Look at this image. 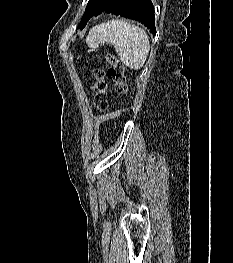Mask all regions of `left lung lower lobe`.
<instances>
[{"mask_svg": "<svg viewBox=\"0 0 233 263\" xmlns=\"http://www.w3.org/2000/svg\"><path fill=\"white\" fill-rule=\"evenodd\" d=\"M105 12L138 20L152 33H156L154 8L150 0H116Z\"/></svg>", "mask_w": 233, "mask_h": 263, "instance_id": "left-lung-lower-lobe-1", "label": "left lung lower lobe"}]
</instances>
